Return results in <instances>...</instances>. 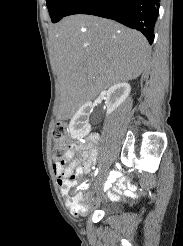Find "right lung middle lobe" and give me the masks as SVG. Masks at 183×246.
Returning a JSON list of instances; mask_svg holds the SVG:
<instances>
[{"label": "right lung middle lobe", "instance_id": "1", "mask_svg": "<svg viewBox=\"0 0 183 246\" xmlns=\"http://www.w3.org/2000/svg\"><path fill=\"white\" fill-rule=\"evenodd\" d=\"M77 0H46L53 23L61 20Z\"/></svg>", "mask_w": 183, "mask_h": 246}]
</instances>
